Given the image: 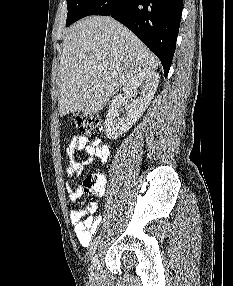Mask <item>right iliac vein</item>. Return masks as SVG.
Instances as JSON below:
<instances>
[{
  "mask_svg": "<svg viewBox=\"0 0 233 286\" xmlns=\"http://www.w3.org/2000/svg\"><path fill=\"white\" fill-rule=\"evenodd\" d=\"M99 273V260L98 256L95 255L92 257L91 267L89 272V279L92 283H95L98 280Z\"/></svg>",
  "mask_w": 233,
  "mask_h": 286,
  "instance_id": "right-iliac-vein-1",
  "label": "right iliac vein"
}]
</instances>
